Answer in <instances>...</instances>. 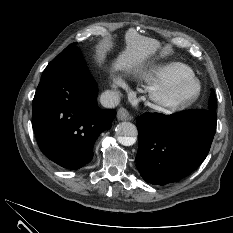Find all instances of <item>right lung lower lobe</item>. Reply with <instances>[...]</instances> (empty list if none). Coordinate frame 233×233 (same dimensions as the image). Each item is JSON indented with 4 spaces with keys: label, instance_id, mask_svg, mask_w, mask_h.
I'll use <instances>...</instances> for the list:
<instances>
[{
    "label": "right lung lower lobe",
    "instance_id": "1",
    "mask_svg": "<svg viewBox=\"0 0 233 233\" xmlns=\"http://www.w3.org/2000/svg\"><path fill=\"white\" fill-rule=\"evenodd\" d=\"M97 84L82 56L55 58L45 68L33 99L32 126L42 153L59 166L79 169L111 127L115 110H102Z\"/></svg>",
    "mask_w": 233,
    "mask_h": 233
}]
</instances>
